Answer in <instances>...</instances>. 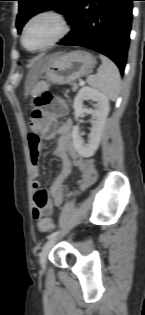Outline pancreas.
<instances>
[{
  "label": "pancreas",
  "instance_id": "cf45deb5",
  "mask_svg": "<svg viewBox=\"0 0 145 315\" xmlns=\"http://www.w3.org/2000/svg\"><path fill=\"white\" fill-rule=\"evenodd\" d=\"M78 89V85L76 83L72 84V90L76 91Z\"/></svg>",
  "mask_w": 145,
  "mask_h": 315
}]
</instances>
